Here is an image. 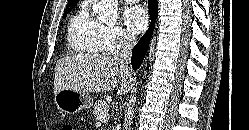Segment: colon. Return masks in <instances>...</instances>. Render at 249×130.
<instances>
[{
    "label": "colon",
    "mask_w": 249,
    "mask_h": 130,
    "mask_svg": "<svg viewBox=\"0 0 249 130\" xmlns=\"http://www.w3.org/2000/svg\"><path fill=\"white\" fill-rule=\"evenodd\" d=\"M61 130H76V129L73 124L65 123L62 125Z\"/></svg>",
    "instance_id": "obj_1"
}]
</instances>
